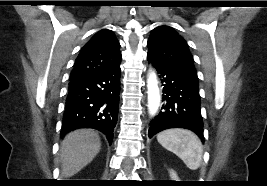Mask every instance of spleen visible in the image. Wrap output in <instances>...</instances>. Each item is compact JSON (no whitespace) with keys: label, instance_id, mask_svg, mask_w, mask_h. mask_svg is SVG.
<instances>
[{"label":"spleen","instance_id":"spleen-1","mask_svg":"<svg viewBox=\"0 0 267 186\" xmlns=\"http://www.w3.org/2000/svg\"><path fill=\"white\" fill-rule=\"evenodd\" d=\"M158 142L176 154L190 170L200 167L203 146L193 132L185 129H168L157 135Z\"/></svg>","mask_w":267,"mask_h":186}]
</instances>
